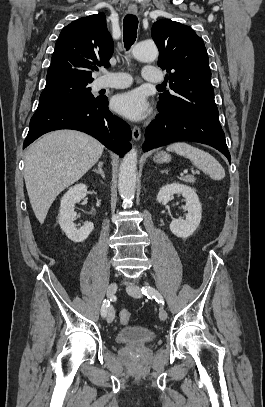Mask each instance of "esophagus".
I'll use <instances>...</instances> for the list:
<instances>
[{"label":"esophagus","mask_w":265,"mask_h":407,"mask_svg":"<svg viewBox=\"0 0 265 407\" xmlns=\"http://www.w3.org/2000/svg\"><path fill=\"white\" fill-rule=\"evenodd\" d=\"M128 11L130 14H137V6L130 5L128 7ZM132 138L134 141H138L141 138V130L138 126H134L132 129Z\"/></svg>","instance_id":"esophagus-1"}]
</instances>
